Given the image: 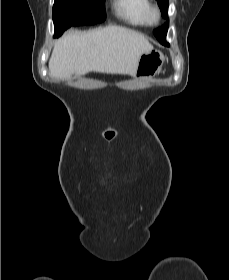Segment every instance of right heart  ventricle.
<instances>
[{
    "instance_id": "right-heart-ventricle-1",
    "label": "right heart ventricle",
    "mask_w": 229,
    "mask_h": 280,
    "mask_svg": "<svg viewBox=\"0 0 229 280\" xmlns=\"http://www.w3.org/2000/svg\"><path fill=\"white\" fill-rule=\"evenodd\" d=\"M150 6L149 0H114L113 2L116 16L132 26L148 25L146 13Z\"/></svg>"
}]
</instances>
